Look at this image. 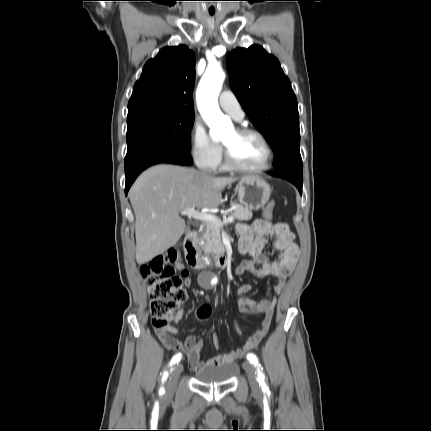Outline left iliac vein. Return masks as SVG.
<instances>
[{
    "label": "left iliac vein",
    "mask_w": 431,
    "mask_h": 431,
    "mask_svg": "<svg viewBox=\"0 0 431 431\" xmlns=\"http://www.w3.org/2000/svg\"><path fill=\"white\" fill-rule=\"evenodd\" d=\"M243 368L247 373L248 380L252 390L254 392H257L259 390V384L257 382V376H256V371L254 369V366L249 361H246L243 363Z\"/></svg>",
    "instance_id": "obj_1"
}]
</instances>
